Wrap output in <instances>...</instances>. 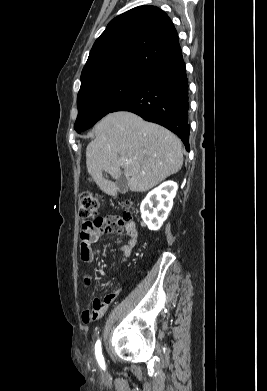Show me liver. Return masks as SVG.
<instances>
[{"label":"liver","mask_w":267,"mask_h":391,"mask_svg":"<svg viewBox=\"0 0 267 391\" xmlns=\"http://www.w3.org/2000/svg\"><path fill=\"white\" fill-rule=\"evenodd\" d=\"M94 132L96 138L86 148L87 170L108 195H115L117 187L103 172L117 180L123 168L130 190L145 192L182 167L180 139L134 113H110L94 126Z\"/></svg>","instance_id":"6515ba94"}]
</instances>
